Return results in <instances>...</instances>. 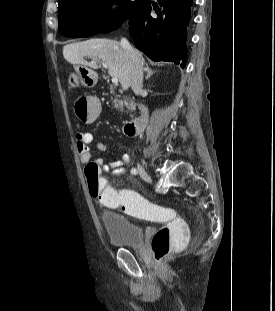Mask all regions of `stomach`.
Masks as SVG:
<instances>
[{"mask_svg":"<svg viewBox=\"0 0 275 311\" xmlns=\"http://www.w3.org/2000/svg\"><path fill=\"white\" fill-rule=\"evenodd\" d=\"M96 82L97 76L95 72L82 65H75L74 72L70 73L67 80L70 89H75L81 85L92 87Z\"/></svg>","mask_w":275,"mask_h":311,"instance_id":"1","label":"stomach"}]
</instances>
